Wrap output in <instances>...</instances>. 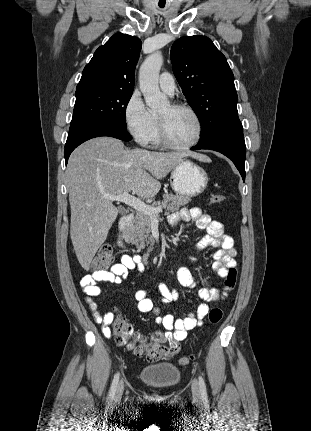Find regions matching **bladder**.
<instances>
[{
    "mask_svg": "<svg viewBox=\"0 0 311 431\" xmlns=\"http://www.w3.org/2000/svg\"><path fill=\"white\" fill-rule=\"evenodd\" d=\"M139 378L142 382L156 389H171L181 378L179 369L171 363H156L144 366Z\"/></svg>",
    "mask_w": 311,
    "mask_h": 431,
    "instance_id": "31cf9c89",
    "label": "bladder"
}]
</instances>
